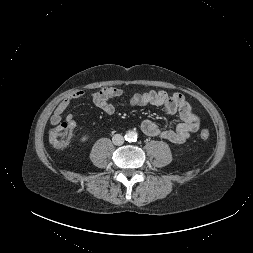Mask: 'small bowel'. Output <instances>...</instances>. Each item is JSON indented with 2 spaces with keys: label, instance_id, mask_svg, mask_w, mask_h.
Returning <instances> with one entry per match:
<instances>
[{
  "label": "small bowel",
  "instance_id": "c3829d8e",
  "mask_svg": "<svg viewBox=\"0 0 253 253\" xmlns=\"http://www.w3.org/2000/svg\"><path fill=\"white\" fill-rule=\"evenodd\" d=\"M122 95L123 90L120 88H103L92 94V102L106 114L111 115L115 112L112 100ZM83 96L84 92L81 90H77L66 96L55 108L51 115L50 123L53 126L58 125L70 103ZM130 104L133 106L153 105L163 107L169 115L178 114L181 122L173 129H163L151 120H144L141 123V130L151 137L182 144L200 127L199 116L193 112L191 105L185 97L178 92L169 94L164 90H150L143 93H136L130 97ZM66 121L70 123L73 128L75 127L76 122L73 113H69L66 116Z\"/></svg>",
  "mask_w": 253,
  "mask_h": 253
}]
</instances>
